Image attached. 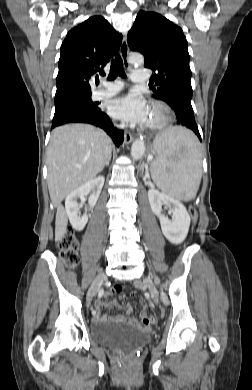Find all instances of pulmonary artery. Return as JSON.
I'll return each mask as SVG.
<instances>
[{
  "instance_id": "1",
  "label": "pulmonary artery",
  "mask_w": 252,
  "mask_h": 390,
  "mask_svg": "<svg viewBox=\"0 0 252 390\" xmlns=\"http://www.w3.org/2000/svg\"><path fill=\"white\" fill-rule=\"evenodd\" d=\"M133 82H144L148 80V75L145 70H133L130 74ZM122 88L121 82H102L101 87L93 93L95 100L107 98L116 94Z\"/></svg>"
}]
</instances>
